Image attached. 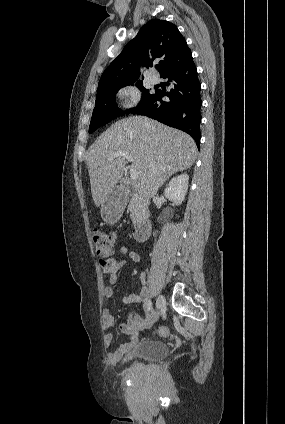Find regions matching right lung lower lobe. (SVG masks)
<instances>
[{
    "label": "right lung lower lobe",
    "mask_w": 285,
    "mask_h": 424,
    "mask_svg": "<svg viewBox=\"0 0 285 424\" xmlns=\"http://www.w3.org/2000/svg\"><path fill=\"white\" fill-rule=\"evenodd\" d=\"M162 77L169 79L167 84L171 85L172 89L167 93L156 91L147 103L130 113L148 116L188 133L199 148L201 83L192 57ZM164 96H167L169 100L163 101Z\"/></svg>",
    "instance_id": "obj_1"
}]
</instances>
